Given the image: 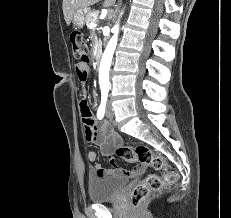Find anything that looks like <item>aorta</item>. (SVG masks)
Instances as JSON below:
<instances>
[{
  "instance_id": "aorta-1",
  "label": "aorta",
  "mask_w": 231,
  "mask_h": 218,
  "mask_svg": "<svg viewBox=\"0 0 231 218\" xmlns=\"http://www.w3.org/2000/svg\"><path fill=\"white\" fill-rule=\"evenodd\" d=\"M119 25L113 27V36L108 42L106 49L103 53L100 67H99V85L101 91H107L109 89V71L113 58V54L117 45Z\"/></svg>"
}]
</instances>
